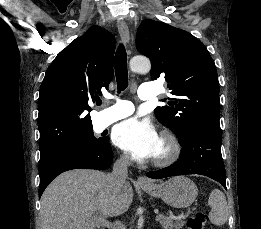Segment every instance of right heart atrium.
<instances>
[{"label":"right heart atrium","instance_id":"right-heart-atrium-1","mask_svg":"<svg viewBox=\"0 0 261 229\" xmlns=\"http://www.w3.org/2000/svg\"><path fill=\"white\" fill-rule=\"evenodd\" d=\"M120 160L124 163V164H130L131 163V161H132V158H131V155L128 153V152H126V151H124V152H122V154H121V156H120Z\"/></svg>","mask_w":261,"mask_h":229}]
</instances>
